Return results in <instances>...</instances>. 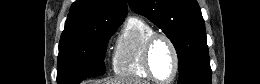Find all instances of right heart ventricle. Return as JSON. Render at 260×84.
<instances>
[{
  "instance_id": "obj_1",
  "label": "right heart ventricle",
  "mask_w": 260,
  "mask_h": 84,
  "mask_svg": "<svg viewBox=\"0 0 260 84\" xmlns=\"http://www.w3.org/2000/svg\"><path fill=\"white\" fill-rule=\"evenodd\" d=\"M154 32L152 26L141 17L132 16L127 19L112 55V69L116 75L149 79L144 68L143 54L145 42Z\"/></svg>"
}]
</instances>
